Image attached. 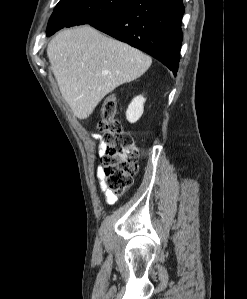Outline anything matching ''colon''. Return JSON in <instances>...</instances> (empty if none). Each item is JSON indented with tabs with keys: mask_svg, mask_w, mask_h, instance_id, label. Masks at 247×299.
<instances>
[{
	"mask_svg": "<svg viewBox=\"0 0 247 299\" xmlns=\"http://www.w3.org/2000/svg\"><path fill=\"white\" fill-rule=\"evenodd\" d=\"M116 113L117 98L110 94L104 99L98 123L103 139L102 173L106 187L114 195H122L132 185L139 152Z\"/></svg>",
	"mask_w": 247,
	"mask_h": 299,
	"instance_id": "5ec220e1",
	"label": "colon"
}]
</instances>
